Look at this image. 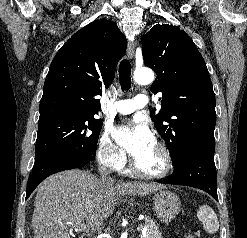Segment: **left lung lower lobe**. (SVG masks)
<instances>
[{"label": "left lung lower lobe", "mask_w": 247, "mask_h": 238, "mask_svg": "<svg viewBox=\"0 0 247 238\" xmlns=\"http://www.w3.org/2000/svg\"><path fill=\"white\" fill-rule=\"evenodd\" d=\"M174 172L159 183L195 187L212 195L216 200V168L214 156L197 151L183 153Z\"/></svg>", "instance_id": "obj_1"}]
</instances>
